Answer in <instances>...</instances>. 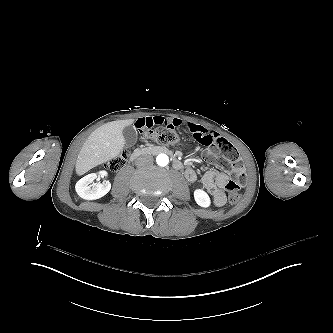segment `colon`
<instances>
[{
  "label": "colon",
  "mask_w": 333,
  "mask_h": 333,
  "mask_svg": "<svg viewBox=\"0 0 333 333\" xmlns=\"http://www.w3.org/2000/svg\"><path fill=\"white\" fill-rule=\"evenodd\" d=\"M191 137L195 138L202 145H210L218 150L223 159H220V165L227 171H232L233 178L229 180L225 189L228 192L227 199L231 204L237 203L240 199V189L243 180L246 178L244 163L239 158L238 151L226 139L217 137L215 130L208 128L203 130L202 126L193 124L188 127ZM141 134L150 142L158 145H172L179 141V135L175 129H157L150 132H141ZM125 155H128V150H123ZM214 156V155H211ZM107 166L112 171L120 168L121 164L118 158L112 159L107 163Z\"/></svg>",
  "instance_id": "colon-1"
}]
</instances>
